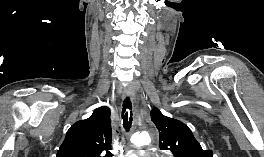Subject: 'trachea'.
Here are the masks:
<instances>
[{
	"instance_id": "1",
	"label": "trachea",
	"mask_w": 264,
	"mask_h": 157,
	"mask_svg": "<svg viewBox=\"0 0 264 157\" xmlns=\"http://www.w3.org/2000/svg\"><path fill=\"white\" fill-rule=\"evenodd\" d=\"M133 113H132V105L129 98H126L123 102V109H122V119H123V126L128 131L131 128L132 120H133Z\"/></svg>"
}]
</instances>
